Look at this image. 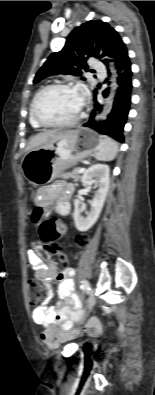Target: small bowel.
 I'll list each match as a JSON object with an SVG mask.
<instances>
[{"label": "small bowel", "mask_w": 155, "mask_h": 395, "mask_svg": "<svg viewBox=\"0 0 155 395\" xmlns=\"http://www.w3.org/2000/svg\"><path fill=\"white\" fill-rule=\"evenodd\" d=\"M72 191V186L63 181L43 187L39 195V208L48 209L56 206L60 212H67ZM56 224L61 231L65 230L66 227L62 221L56 222ZM27 258L35 278L42 283L47 292L44 302L32 312L33 321L45 327L40 338L48 346L65 342L75 336L74 333H71V328L73 322L80 316V301L74 293L73 277L75 271L59 270L54 262L44 261L34 251H28ZM53 282L58 284L57 294L65 303L48 307L53 298ZM97 329L98 324L92 322L89 330L96 331Z\"/></svg>", "instance_id": "1"}]
</instances>
